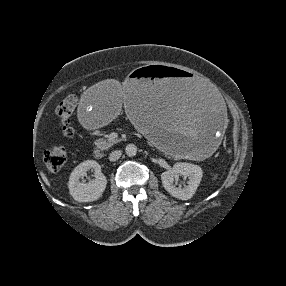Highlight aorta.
Masks as SVG:
<instances>
[{
	"label": "aorta",
	"mask_w": 286,
	"mask_h": 286,
	"mask_svg": "<svg viewBox=\"0 0 286 286\" xmlns=\"http://www.w3.org/2000/svg\"><path fill=\"white\" fill-rule=\"evenodd\" d=\"M126 154L129 156H134L137 153V147L134 144H128L125 148Z\"/></svg>",
	"instance_id": "obj_1"
}]
</instances>
